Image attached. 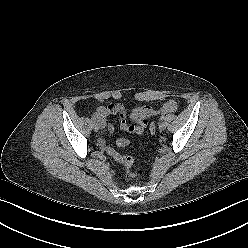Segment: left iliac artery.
<instances>
[{
	"label": "left iliac artery",
	"mask_w": 248,
	"mask_h": 248,
	"mask_svg": "<svg viewBox=\"0 0 248 248\" xmlns=\"http://www.w3.org/2000/svg\"><path fill=\"white\" fill-rule=\"evenodd\" d=\"M160 120H164V116H161V117H160Z\"/></svg>",
	"instance_id": "1"
}]
</instances>
